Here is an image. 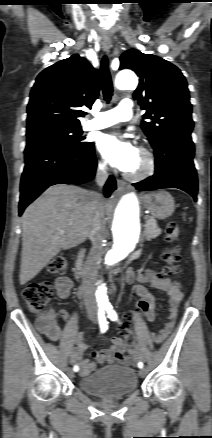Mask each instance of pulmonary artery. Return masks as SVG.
Segmentation results:
<instances>
[{"instance_id":"pulmonary-artery-1","label":"pulmonary artery","mask_w":212,"mask_h":438,"mask_svg":"<svg viewBox=\"0 0 212 438\" xmlns=\"http://www.w3.org/2000/svg\"><path fill=\"white\" fill-rule=\"evenodd\" d=\"M134 111L133 102L129 99H123L117 107L98 113L95 119L85 125V129H103L126 121L133 116Z\"/></svg>"}]
</instances>
